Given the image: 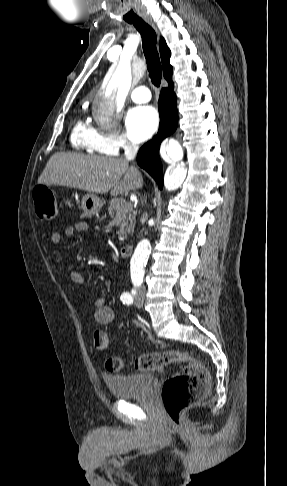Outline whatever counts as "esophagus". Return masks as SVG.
Listing matches in <instances>:
<instances>
[{
  "instance_id": "1",
  "label": "esophagus",
  "mask_w": 287,
  "mask_h": 486,
  "mask_svg": "<svg viewBox=\"0 0 287 486\" xmlns=\"http://www.w3.org/2000/svg\"><path fill=\"white\" fill-rule=\"evenodd\" d=\"M145 21L158 33L157 26L150 18L145 17Z\"/></svg>"
}]
</instances>
